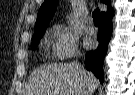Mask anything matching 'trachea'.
I'll use <instances>...</instances> for the list:
<instances>
[{"label": "trachea", "instance_id": "obj_1", "mask_svg": "<svg viewBox=\"0 0 135 95\" xmlns=\"http://www.w3.org/2000/svg\"><path fill=\"white\" fill-rule=\"evenodd\" d=\"M92 17H93V21H94L95 26H99V24H100V10L98 8H96L93 11Z\"/></svg>", "mask_w": 135, "mask_h": 95}]
</instances>
